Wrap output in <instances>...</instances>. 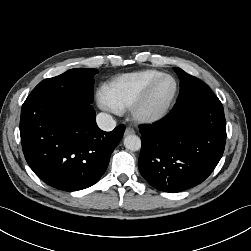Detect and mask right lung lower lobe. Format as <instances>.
<instances>
[{
    "instance_id": "98d812e1",
    "label": "right lung lower lobe",
    "mask_w": 251,
    "mask_h": 251,
    "mask_svg": "<svg viewBox=\"0 0 251 251\" xmlns=\"http://www.w3.org/2000/svg\"><path fill=\"white\" fill-rule=\"evenodd\" d=\"M124 130V125L100 130L90 103L35 94L21 109L28 165L46 184L64 191L85 189L100 179Z\"/></svg>"
}]
</instances>
